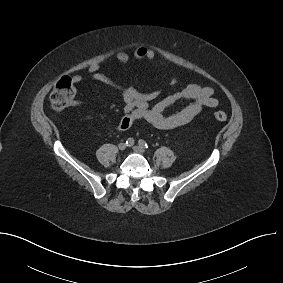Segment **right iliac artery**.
Wrapping results in <instances>:
<instances>
[{
  "mask_svg": "<svg viewBox=\"0 0 283 283\" xmlns=\"http://www.w3.org/2000/svg\"><path fill=\"white\" fill-rule=\"evenodd\" d=\"M134 144V139L133 138H128L127 140H126V145L127 146H132Z\"/></svg>",
  "mask_w": 283,
  "mask_h": 283,
  "instance_id": "right-iliac-artery-1",
  "label": "right iliac artery"
}]
</instances>
